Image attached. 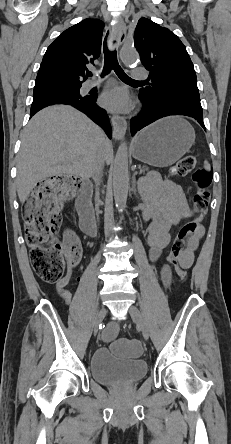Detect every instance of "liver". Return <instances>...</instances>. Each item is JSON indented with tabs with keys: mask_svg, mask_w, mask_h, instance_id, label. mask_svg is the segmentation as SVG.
<instances>
[{
	"mask_svg": "<svg viewBox=\"0 0 231 444\" xmlns=\"http://www.w3.org/2000/svg\"><path fill=\"white\" fill-rule=\"evenodd\" d=\"M109 163L113 148L101 129L71 106H49L32 117L21 134L16 188L23 203L37 182L51 176L88 179L100 156Z\"/></svg>",
	"mask_w": 231,
	"mask_h": 444,
	"instance_id": "6515ba94",
	"label": "liver"
}]
</instances>
